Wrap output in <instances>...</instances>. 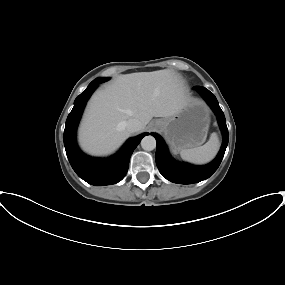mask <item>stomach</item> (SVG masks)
Returning a JSON list of instances; mask_svg holds the SVG:
<instances>
[{
  "mask_svg": "<svg viewBox=\"0 0 285 285\" xmlns=\"http://www.w3.org/2000/svg\"><path fill=\"white\" fill-rule=\"evenodd\" d=\"M209 123V110L197 99L191 100L175 115L156 120L173 152L202 145L207 137Z\"/></svg>",
  "mask_w": 285,
  "mask_h": 285,
  "instance_id": "obj_1",
  "label": "stomach"
}]
</instances>
